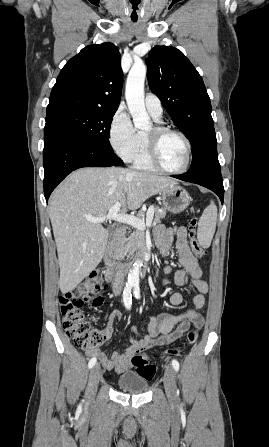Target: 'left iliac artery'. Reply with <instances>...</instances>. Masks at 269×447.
I'll return each mask as SVG.
<instances>
[{
    "label": "left iliac artery",
    "instance_id": "44dca946",
    "mask_svg": "<svg viewBox=\"0 0 269 447\" xmlns=\"http://www.w3.org/2000/svg\"><path fill=\"white\" fill-rule=\"evenodd\" d=\"M134 296L138 299L140 298V291H139V285L138 284H134ZM172 366L173 368L178 371L179 370V363L177 360H173L172 361Z\"/></svg>",
    "mask_w": 269,
    "mask_h": 447
}]
</instances>
